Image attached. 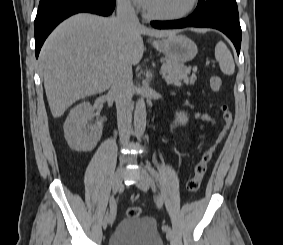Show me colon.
<instances>
[{
    "mask_svg": "<svg viewBox=\"0 0 283 245\" xmlns=\"http://www.w3.org/2000/svg\"><path fill=\"white\" fill-rule=\"evenodd\" d=\"M210 87L213 91L217 92L222 87V79L218 75H213L210 78ZM221 114L222 119L224 122V129L220 132L219 136L217 137L215 143L211 145L208 149H206L198 162L195 164L193 169V175L187 182V189L190 192H197L200 189L202 180L207 172L208 165L213 157V153L216 148V144H218L223 137L225 136L226 130L229 128V126L232 123V113L228 107V105L223 104L221 105ZM141 214V210L139 207L133 206L128 208L127 215L129 218H137Z\"/></svg>",
    "mask_w": 283,
    "mask_h": 245,
    "instance_id": "1",
    "label": "colon"
}]
</instances>
